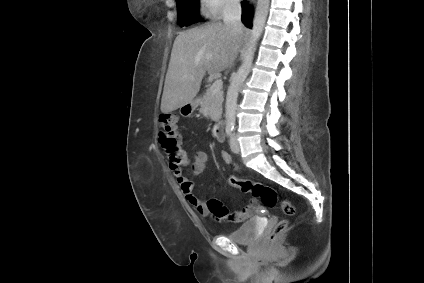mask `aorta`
Instances as JSON below:
<instances>
[{
	"label": "aorta",
	"mask_w": 424,
	"mask_h": 283,
	"mask_svg": "<svg viewBox=\"0 0 424 283\" xmlns=\"http://www.w3.org/2000/svg\"><path fill=\"white\" fill-rule=\"evenodd\" d=\"M270 0H257L255 16L251 35L243 54L242 64L237 73L232 78L227 91L225 104V122L226 126H234L236 120L237 97L240 86L245 81L251 71L252 61L256 50L257 42L263 32L267 16L269 13Z\"/></svg>",
	"instance_id": "obj_1"
}]
</instances>
